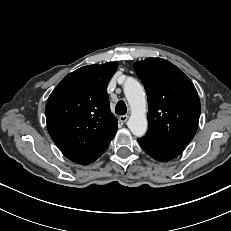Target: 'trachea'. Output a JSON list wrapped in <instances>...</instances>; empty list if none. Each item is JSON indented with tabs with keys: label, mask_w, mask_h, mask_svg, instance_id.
Instances as JSON below:
<instances>
[{
	"label": "trachea",
	"mask_w": 231,
	"mask_h": 231,
	"mask_svg": "<svg viewBox=\"0 0 231 231\" xmlns=\"http://www.w3.org/2000/svg\"><path fill=\"white\" fill-rule=\"evenodd\" d=\"M127 112L126 104L124 101L120 100L115 107V113L118 115H125Z\"/></svg>",
	"instance_id": "1"
}]
</instances>
